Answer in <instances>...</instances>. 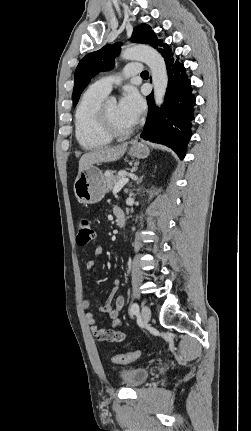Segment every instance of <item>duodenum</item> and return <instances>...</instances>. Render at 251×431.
I'll list each match as a JSON object with an SVG mask.
<instances>
[{"label": "duodenum", "mask_w": 251, "mask_h": 431, "mask_svg": "<svg viewBox=\"0 0 251 431\" xmlns=\"http://www.w3.org/2000/svg\"><path fill=\"white\" fill-rule=\"evenodd\" d=\"M117 225L119 227H123L125 225L126 217L125 213L122 210H118L115 212Z\"/></svg>", "instance_id": "obj_1"}]
</instances>
